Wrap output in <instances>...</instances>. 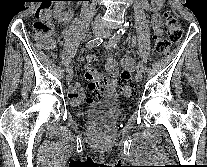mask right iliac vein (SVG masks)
I'll list each match as a JSON object with an SVG mask.
<instances>
[{"label": "right iliac vein", "mask_w": 207, "mask_h": 167, "mask_svg": "<svg viewBox=\"0 0 207 167\" xmlns=\"http://www.w3.org/2000/svg\"><path fill=\"white\" fill-rule=\"evenodd\" d=\"M102 34V31L99 28L93 29V35L94 36H100ZM73 78V70H69L67 73L66 81L69 83Z\"/></svg>", "instance_id": "63e3f726"}]
</instances>
